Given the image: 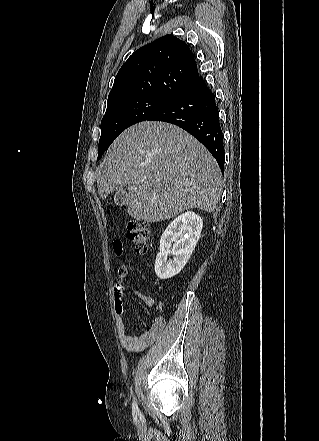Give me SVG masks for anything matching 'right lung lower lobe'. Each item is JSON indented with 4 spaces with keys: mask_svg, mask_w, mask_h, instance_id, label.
I'll list each match as a JSON object with an SVG mask.
<instances>
[{
    "mask_svg": "<svg viewBox=\"0 0 319 441\" xmlns=\"http://www.w3.org/2000/svg\"><path fill=\"white\" fill-rule=\"evenodd\" d=\"M148 120L175 124L198 139L224 168L223 133L215 95L202 77L183 88L161 111Z\"/></svg>",
    "mask_w": 319,
    "mask_h": 441,
    "instance_id": "obj_1",
    "label": "right lung lower lobe"
}]
</instances>
